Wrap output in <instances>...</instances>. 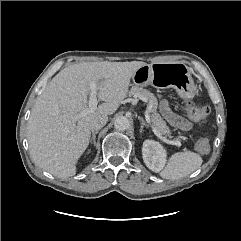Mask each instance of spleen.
<instances>
[{
    "mask_svg": "<svg viewBox=\"0 0 241 241\" xmlns=\"http://www.w3.org/2000/svg\"><path fill=\"white\" fill-rule=\"evenodd\" d=\"M202 162L201 156L197 153L191 151L177 152L170 156L160 176L170 180L181 179L196 171L202 165Z\"/></svg>",
    "mask_w": 241,
    "mask_h": 241,
    "instance_id": "spleen-1",
    "label": "spleen"
}]
</instances>
